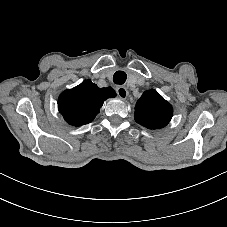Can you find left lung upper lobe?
Returning <instances> with one entry per match:
<instances>
[{"mask_svg":"<svg viewBox=\"0 0 227 227\" xmlns=\"http://www.w3.org/2000/svg\"><path fill=\"white\" fill-rule=\"evenodd\" d=\"M172 114V106L153 89L143 93L135 108L136 122L149 129L166 126Z\"/></svg>","mask_w":227,"mask_h":227,"instance_id":"1","label":"left lung upper lobe"}]
</instances>
